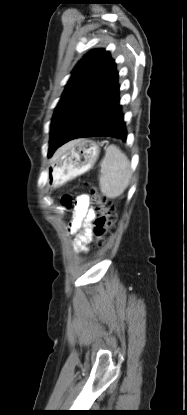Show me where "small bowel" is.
I'll return each mask as SVG.
<instances>
[{"mask_svg": "<svg viewBox=\"0 0 187 415\" xmlns=\"http://www.w3.org/2000/svg\"><path fill=\"white\" fill-rule=\"evenodd\" d=\"M95 218V210L90 206V199L87 195L78 198L75 205L73 219L68 227L70 233L81 228V232L75 237L73 248L77 252L86 253L90 243V231L92 221Z\"/></svg>", "mask_w": 187, "mask_h": 415, "instance_id": "small-bowel-1", "label": "small bowel"}]
</instances>
